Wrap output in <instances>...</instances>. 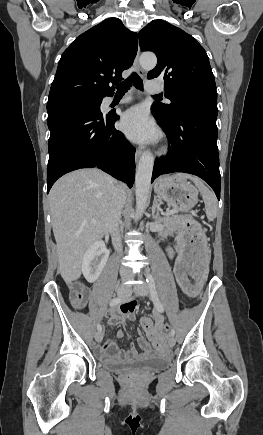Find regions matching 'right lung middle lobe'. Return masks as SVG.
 <instances>
[{"mask_svg": "<svg viewBox=\"0 0 263 435\" xmlns=\"http://www.w3.org/2000/svg\"><path fill=\"white\" fill-rule=\"evenodd\" d=\"M101 102L102 99H92V100L74 101V102L50 105L47 106L48 117L58 112L70 111V110H93L101 113L100 112Z\"/></svg>", "mask_w": 263, "mask_h": 435, "instance_id": "right-lung-middle-lobe-1", "label": "right lung middle lobe"}]
</instances>
